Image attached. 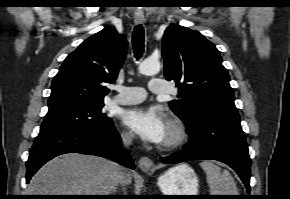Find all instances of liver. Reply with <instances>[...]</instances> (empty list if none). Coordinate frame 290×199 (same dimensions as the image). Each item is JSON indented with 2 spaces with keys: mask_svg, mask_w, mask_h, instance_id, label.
I'll return each instance as SVG.
<instances>
[{
  "mask_svg": "<svg viewBox=\"0 0 290 199\" xmlns=\"http://www.w3.org/2000/svg\"><path fill=\"white\" fill-rule=\"evenodd\" d=\"M117 164L105 158L69 153L47 162L31 179L30 195H110ZM123 184L132 177L123 170Z\"/></svg>",
  "mask_w": 290,
  "mask_h": 199,
  "instance_id": "6515ba94",
  "label": "liver"
}]
</instances>
